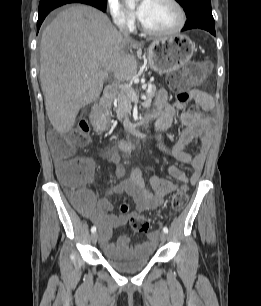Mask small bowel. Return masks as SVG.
<instances>
[{
    "mask_svg": "<svg viewBox=\"0 0 261 306\" xmlns=\"http://www.w3.org/2000/svg\"><path fill=\"white\" fill-rule=\"evenodd\" d=\"M192 101L198 104L203 113L196 112H180L186 106V102L175 101L168 103V93L166 90H160L156 97V132L159 150L169 155L181 163L191 165L193 173L188 177L182 170L176 166L168 168L169 174L180 182L195 184L199 179L207 154L210 150L213 135L215 132V121L210 116L213 108L212 99L204 92L196 90L192 94ZM178 120L183 125V131L177 143L173 147H168L164 143L162 133L173 123ZM195 141L200 142L201 152L192 156L186 151V148ZM107 161L114 166L117 177L124 175V169L119 164V155L116 150H111L106 154ZM89 167L88 180H93L94 161L85 158ZM68 165L66 161L58 160L56 168L59 171L62 167ZM149 184L155 190L151 193L147 188L140 169H133L129 178L121 181L109 190L110 194H118L126 192L132 196L135 202V211L128 214L113 215L111 202L107 198H101L95 201V195L91 191H86L81 211L97 224L100 235L101 244L107 251H113L114 244L111 243L113 231L123 225L139 211L157 209L162 206L165 196L171 194L178 188V184L160 178L156 174H152L149 178ZM157 241V234L151 233L148 236L146 245L153 246ZM125 240H121L116 244L124 245Z\"/></svg>",
    "mask_w": 261,
    "mask_h": 306,
    "instance_id": "c3829d8e",
    "label": "small bowel"
}]
</instances>
